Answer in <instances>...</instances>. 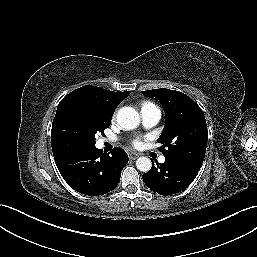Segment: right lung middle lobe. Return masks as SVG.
I'll return each instance as SVG.
<instances>
[{
  "mask_svg": "<svg viewBox=\"0 0 257 257\" xmlns=\"http://www.w3.org/2000/svg\"><path fill=\"white\" fill-rule=\"evenodd\" d=\"M111 118L112 115L95 105L80 100L69 101L60 113L64 133L61 140L52 142V147H94L95 134H104V130L110 126Z\"/></svg>",
  "mask_w": 257,
  "mask_h": 257,
  "instance_id": "right-lung-middle-lobe-1",
  "label": "right lung middle lobe"
}]
</instances>
